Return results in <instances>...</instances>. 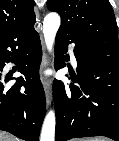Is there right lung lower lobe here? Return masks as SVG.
I'll use <instances>...</instances> for the list:
<instances>
[{"instance_id": "obj_1", "label": "right lung lower lobe", "mask_w": 119, "mask_h": 141, "mask_svg": "<svg viewBox=\"0 0 119 141\" xmlns=\"http://www.w3.org/2000/svg\"><path fill=\"white\" fill-rule=\"evenodd\" d=\"M42 48L34 26L0 43V130L26 141H38L46 112L44 90L39 79ZM18 62L19 77L10 88L11 76L3 74L5 63Z\"/></svg>"}]
</instances>
